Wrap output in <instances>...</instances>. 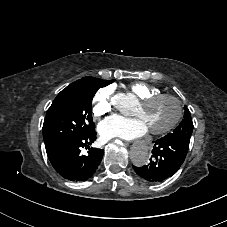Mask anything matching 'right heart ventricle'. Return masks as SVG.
<instances>
[{"mask_svg": "<svg viewBox=\"0 0 227 227\" xmlns=\"http://www.w3.org/2000/svg\"><path fill=\"white\" fill-rule=\"evenodd\" d=\"M129 91L137 97V99L144 98L149 95L161 93L157 87L150 86L142 81H135L129 85Z\"/></svg>", "mask_w": 227, "mask_h": 227, "instance_id": "1", "label": "right heart ventricle"}]
</instances>
